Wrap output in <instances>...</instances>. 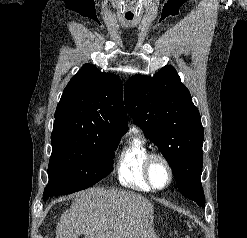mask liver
<instances>
[{"mask_svg": "<svg viewBox=\"0 0 247 238\" xmlns=\"http://www.w3.org/2000/svg\"><path fill=\"white\" fill-rule=\"evenodd\" d=\"M153 204L143 196L90 188L76 194L60 217L56 238H156Z\"/></svg>", "mask_w": 247, "mask_h": 238, "instance_id": "6515ba94", "label": "liver"}]
</instances>
